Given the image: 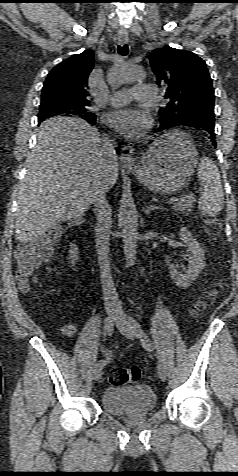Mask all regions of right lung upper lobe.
I'll use <instances>...</instances> for the list:
<instances>
[{"mask_svg": "<svg viewBox=\"0 0 238 476\" xmlns=\"http://www.w3.org/2000/svg\"><path fill=\"white\" fill-rule=\"evenodd\" d=\"M94 66V53L85 50L73 55L48 74L42 88L41 102L54 101L72 106H88V76Z\"/></svg>", "mask_w": 238, "mask_h": 476, "instance_id": "1", "label": "right lung upper lobe"}]
</instances>
